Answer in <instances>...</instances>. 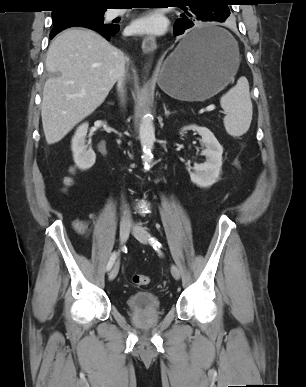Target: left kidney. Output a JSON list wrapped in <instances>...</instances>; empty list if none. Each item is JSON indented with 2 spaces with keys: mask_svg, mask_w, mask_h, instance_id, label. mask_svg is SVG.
I'll return each instance as SVG.
<instances>
[{
  "mask_svg": "<svg viewBox=\"0 0 306 387\" xmlns=\"http://www.w3.org/2000/svg\"><path fill=\"white\" fill-rule=\"evenodd\" d=\"M187 130L196 131L202 137L201 143L205 149H203L201 155L206 157L204 163L194 164V171L190 173L191 181L200 187H210L219 177L223 148L213 133L206 127L190 125L184 127L181 132Z\"/></svg>",
  "mask_w": 306,
  "mask_h": 387,
  "instance_id": "obj_1",
  "label": "left kidney"
}]
</instances>
